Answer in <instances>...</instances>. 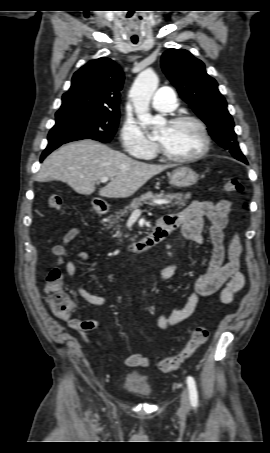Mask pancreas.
<instances>
[{
    "label": "pancreas",
    "mask_w": 270,
    "mask_h": 453,
    "mask_svg": "<svg viewBox=\"0 0 270 453\" xmlns=\"http://www.w3.org/2000/svg\"><path fill=\"white\" fill-rule=\"evenodd\" d=\"M190 198V194L189 193H175V194H164V193H160V194H154L152 192H147L145 194H142L139 198H135L131 204L127 207H125L124 209L122 210H119L117 212H115V214L113 215H110L109 216V222H110V226L111 227H114L117 231H118V234H117V237L119 238L121 235H120V229H121V225H120V222H123L124 221V217L132 212L133 210L135 209H138L139 207L143 206L144 204H147L149 206H156V207H160L161 209H165V208H170V207H173V206H177L178 209H181L183 206L186 205V202L187 200ZM154 199H157V200H167L169 201V204L166 205V207H163V206H159L155 203L152 202V200ZM129 235L126 234L125 237H128Z\"/></svg>",
    "instance_id": "cf45deb5"
}]
</instances>
